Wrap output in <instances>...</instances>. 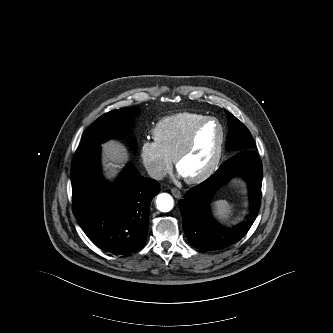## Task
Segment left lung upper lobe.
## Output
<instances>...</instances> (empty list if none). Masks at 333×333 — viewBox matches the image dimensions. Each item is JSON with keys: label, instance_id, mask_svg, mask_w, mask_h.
<instances>
[{"label": "left lung upper lobe", "instance_id": "1", "mask_svg": "<svg viewBox=\"0 0 333 333\" xmlns=\"http://www.w3.org/2000/svg\"><path fill=\"white\" fill-rule=\"evenodd\" d=\"M228 119V135L226 148L229 151L239 152L243 150H253L255 142L249 130L235 116L227 110L225 111Z\"/></svg>", "mask_w": 333, "mask_h": 333}]
</instances>
